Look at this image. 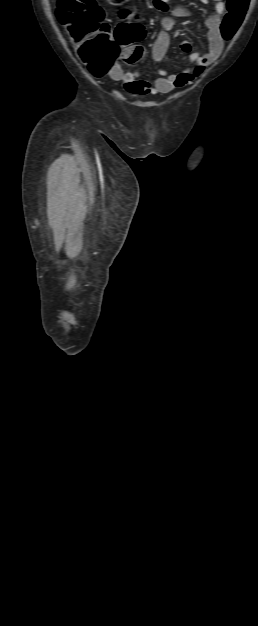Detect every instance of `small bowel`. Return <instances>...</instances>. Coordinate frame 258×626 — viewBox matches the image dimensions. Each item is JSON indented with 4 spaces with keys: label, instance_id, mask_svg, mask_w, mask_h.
Instances as JSON below:
<instances>
[{
    "label": "small bowel",
    "instance_id": "c3829d8e",
    "mask_svg": "<svg viewBox=\"0 0 258 626\" xmlns=\"http://www.w3.org/2000/svg\"><path fill=\"white\" fill-rule=\"evenodd\" d=\"M208 3L210 0H200ZM215 2V13L206 20L208 27L209 49L201 54L192 51L190 42L181 43L182 51L187 55L194 68L179 73H170L166 70L160 71V77L154 82L141 79L139 71L124 72L119 63L115 62L108 70L111 79L121 82L124 89L135 95L146 94H166L181 88L198 77L206 67L211 65L222 53L224 42L220 33L221 18L225 14L226 5L223 0H213ZM150 5L160 11H169L168 0H151ZM190 13L183 7H176L172 10V16H167L162 20L163 30L158 33L153 48L152 57L155 64L160 63L166 56L170 37L168 32L174 27L173 17H188ZM124 12L118 14V20L122 19Z\"/></svg>",
    "mask_w": 258,
    "mask_h": 626
}]
</instances>
